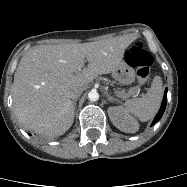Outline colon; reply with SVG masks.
<instances>
[{
	"mask_svg": "<svg viewBox=\"0 0 187 187\" xmlns=\"http://www.w3.org/2000/svg\"><path fill=\"white\" fill-rule=\"evenodd\" d=\"M126 61L137 68V79L139 84L144 85L150 75V66L153 63L152 55L145 49L144 45L136 42L126 53Z\"/></svg>",
	"mask_w": 187,
	"mask_h": 187,
	"instance_id": "1",
	"label": "colon"
}]
</instances>
